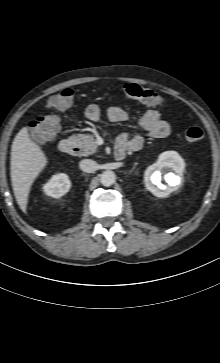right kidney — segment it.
<instances>
[{
	"instance_id": "right-kidney-1",
	"label": "right kidney",
	"mask_w": 220,
	"mask_h": 363,
	"mask_svg": "<svg viewBox=\"0 0 220 363\" xmlns=\"http://www.w3.org/2000/svg\"><path fill=\"white\" fill-rule=\"evenodd\" d=\"M71 187V181L64 173L53 175L44 185L43 191L47 196L60 198L66 194Z\"/></svg>"
}]
</instances>
